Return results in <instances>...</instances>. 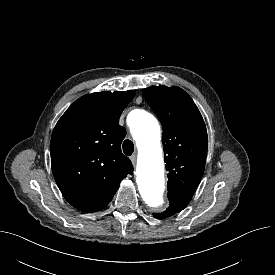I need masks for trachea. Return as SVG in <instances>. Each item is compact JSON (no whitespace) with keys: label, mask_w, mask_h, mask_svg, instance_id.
<instances>
[{"label":"trachea","mask_w":275,"mask_h":275,"mask_svg":"<svg viewBox=\"0 0 275 275\" xmlns=\"http://www.w3.org/2000/svg\"><path fill=\"white\" fill-rule=\"evenodd\" d=\"M134 151V144L130 140H125L123 142V152L125 155L130 156Z\"/></svg>","instance_id":"trachea-1"}]
</instances>
